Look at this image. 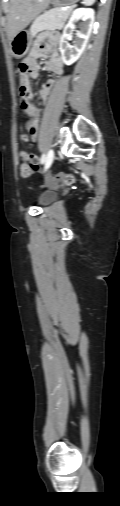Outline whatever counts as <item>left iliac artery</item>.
Wrapping results in <instances>:
<instances>
[{
  "label": "left iliac artery",
  "instance_id": "44dca946",
  "mask_svg": "<svg viewBox=\"0 0 120 506\" xmlns=\"http://www.w3.org/2000/svg\"><path fill=\"white\" fill-rule=\"evenodd\" d=\"M45 162H46V155H45V154H43V155L41 156L40 163H41V164H44Z\"/></svg>",
  "mask_w": 120,
  "mask_h": 506
}]
</instances>
